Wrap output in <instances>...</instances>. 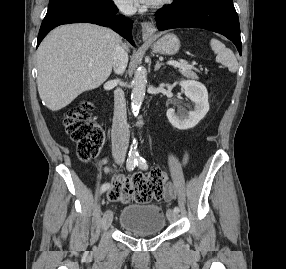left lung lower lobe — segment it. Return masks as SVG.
Returning <instances> with one entry per match:
<instances>
[{"instance_id":"obj_1","label":"left lung lower lobe","mask_w":286,"mask_h":269,"mask_svg":"<svg viewBox=\"0 0 286 269\" xmlns=\"http://www.w3.org/2000/svg\"><path fill=\"white\" fill-rule=\"evenodd\" d=\"M159 30L180 27L203 28L220 33L242 52L239 19L232 0L174 1L157 11Z\"/></svg>"}]
</instances>
